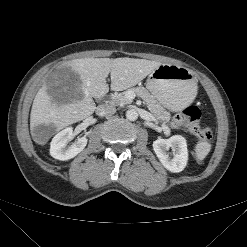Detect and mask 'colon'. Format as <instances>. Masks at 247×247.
I'll return each instance as SVG.
<instances>
[{
  "mask_svg": "<svg viewBox=\"0 0 247 247\" xmlns=\"http://www.w3.org/2000/svg\"><path fill=\"white\" fill-rule=\"evenodd\" d=\"M201 112L196 106H189L175 116L178 124L188 129L192 134L200 139H210L212 130L208 127H201L199 124Z\"/></svg>",
  "mask_w": 247,
  "mask_h": 247,
  "instance_id": "colon-1",
  "label": "colon"
}]
</instances>
